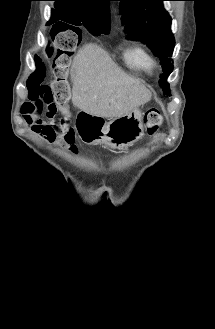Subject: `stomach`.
<instances>
[{"label":"stomach","instance_id":"stomach-1","mask_svg":"<svg viewBox=\"0 0 215 329\" xmlns=\"http://www.w3.org/2000/svg\"><path fill=\"white\" fill-rule=\"evenodd\" d=\"M97 139L93 143L104 144L114 149L127 147L141 139L144 135L142 113L135 108L128 113L104 122L97 131Z\"/></svg>","mask_w":215,"mask_h":329}]
</instances>
